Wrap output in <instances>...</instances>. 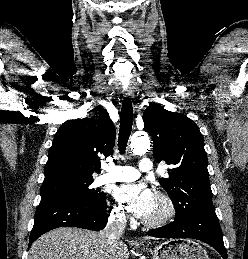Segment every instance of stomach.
Returning <instances> with one entry per match:
<instances>
[{
	"label": "stomach",
	"instance_id": "stomach-1",
	"mask_svg": "<svg viewBox=\"0 0 248 259\" xmlns=\"http://www.w3.org/2000/svg\"><path fill=\"white\" fill-rule=\"evenodd\" d=\"M146 249L153 259H209L206 251L192 240H169Z\"/></svg>",
	"mask_w": 248,
	"mask_h": 259
}]
</instances>
